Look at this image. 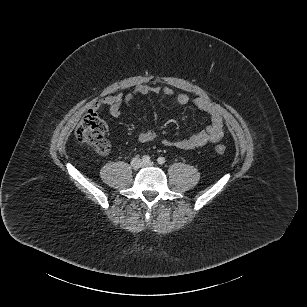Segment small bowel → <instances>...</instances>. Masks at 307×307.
Returning a JSON list of instances; mask_svg holds the SVG:
<instances>
[{
    "label": "small bowel",
    "instance_id": "c3829d8e",
    "mask_svg": "<svg viewBox=\"0 0 307 307\" xmlns=\"http://www.w3.org/2000/svg\"><path fill=\"white\" fill-rule=\"evenodd\" d=\"M159 93H162L167 97L174 95V91L170 87L139 85L132 92L127 94L119 93L104 97L94 105V110H97L102 106H107L109 107L110 115L117 118L121 115L122 106L132 102L136 96ZM175 99L180 105L191 103L197 109L204 111L209 115L211 122L204 130L195 133L188 138L177 141L167 139L162 140L164 146L175 147L181 150H192L203 147L209 143H217L223 138V118L218 109L211 102L201 97L190 99L185 93L177 94ZM155 138L156 133L153 130H145L138 135V141L140 143H148L153 141Z\"/></svg>",
    "mask_w": 307,
    "mask_h": 307
}]
</instances>
